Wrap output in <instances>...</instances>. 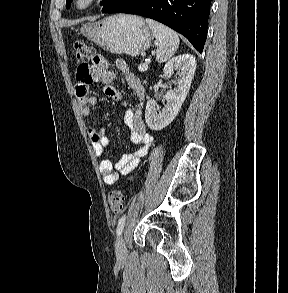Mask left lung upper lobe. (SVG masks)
Returning <instances> with one entry per match:
<instances>
[{"label": "left lung upper lobe", "mask_w": 288, "mask_h": 293, "mask_svg": "<svg viewBox=\"0 0 288 293\" xmlns=\"http://www.w3.org/2000/svg\"><path fill=\"white\" fill-rule=\"evenodd\" d=\"M113 1H115V0H103L101 4L103 5V8H106V7L109 6ZM71 2H72V0H66V8H69V7H70Z\"/></svg>", "instance_id": "5c2ea615"}]
</instances>
